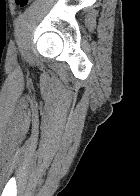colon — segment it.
Returning <instances> with one entry per match:
<instances>
[{"label": "colon", "instance_id": "obj_1", "mask_svg": "<svg viewBox=\"0 0 140 196\" xmlns=\"http://www.w3.org/2000/svg\"><path fill=\"white\" fill-rule=\"evenodd\" d=\"M28 0H16L17 4L21 5L26 3Z\"/></svg>", "mask_w": 140, "mask_h": 196}]
</instances>
